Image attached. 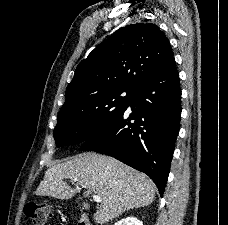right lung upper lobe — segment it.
Wrapping results in <instances>:
<instances>
[{"mask_svg": "<svg viewBox=\"0 0 228 225\" xmlns=\"http://www.w3.org/2000/svg\"><path fill=\"white\" fill-rule=\"evenodd\" d=\"M172 58L169 40L157 25L122 27L78 64L64 105L110 86L135 89Z\"/></svg>", "mask_w": 228, "mask_h": 225, "instance_id": "cb5924a9", "label": "right lung upper lobe"}]
</instances>
